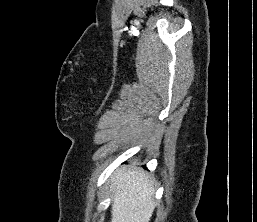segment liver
Wrapping results in <instances>:
<instances>
[{
	"mask_svg": "<svg viewBox=\"0 0 257 222\" xmlns=\"http://www.w3.org/2000/svg\"><path fill=\"white\" fill-rule=\"evenodd\" d=\"M111 222H149L155 209L153 181L142 170L119 168L111 177Z\"/></svg>",
	"mask_w": 257,
	"mask_h": 222,
	"instance_id": "6515ba94",
	"label": "liver"
}]
</instances>
